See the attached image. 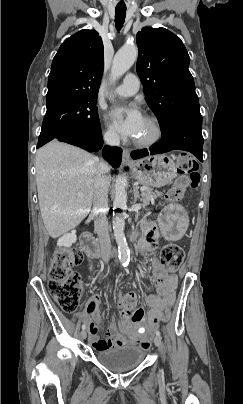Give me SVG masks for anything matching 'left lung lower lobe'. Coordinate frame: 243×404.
I'll list each match as a JSON object with an SVG mask.
<instances>
[{"label":"left lung lower lobe","instance_id":"left-lung-lower-lobe-1","mask_svg":"<svg viewBox=\"0 0 243 404\" xmlns=\"http://www.w3.org/2000/svg\"><path fill=\"white\" fill-rule=\"evenodd\" d=\"M163 137L159 143L147 149L135 150L131 153L133 159L164 153L170 150H184L191 152L201 162L203 137L202 116L182 115L173 119L162 129Z\"/></svg>","mask_w":243,"mask_h":404}]
</instances>
